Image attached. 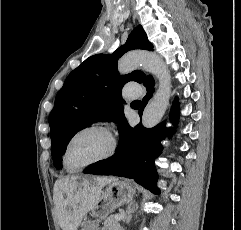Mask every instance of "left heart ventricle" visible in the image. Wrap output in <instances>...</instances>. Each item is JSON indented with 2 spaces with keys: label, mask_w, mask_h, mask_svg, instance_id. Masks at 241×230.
I'll return each instance as SVG.
<instances>
[{
  "label": "left heart ventricle",
  "mask_w": 241,
  "mask_h": 230,
  "mask_svg": "<svg viewBox=\"0 0 241 230\" xmlns=\"http://www.w3.org/2000/svg\"><path fill=\"white\" fill-rule=\"evenodd\" d=\"M109 136L101 130H87L77 135L71 142L67 162L71 168L104 155L110 148Z\"/></svg>",
  "instance_id": "obj_1"
}]
</instances>
